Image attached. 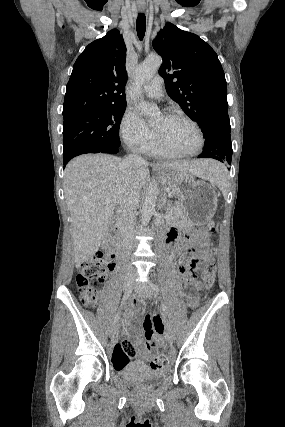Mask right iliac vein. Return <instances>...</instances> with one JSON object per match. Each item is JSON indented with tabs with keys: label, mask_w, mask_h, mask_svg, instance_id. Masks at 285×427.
<instances>
[{
	"label": "right iliac vein",
	"mask_w": 285,
	"mask_h": 427,
	"mask_svg": "<svg viewBox=\"0 0 285 427\" xmlns=\"http://www.w3.org/2000/svg\"><path fill=\"white\" fill-rule=\"evenodd\" d=\"M132 287H133L132 280L130 279L125 280L124 282L125 291H130ZM117 335H118V328L116 325H113L109 330V336L112 340H114L116 339Z\"/></svg>",
	"instance_id": "right-iliac-vein-1"
}]
</instances>
